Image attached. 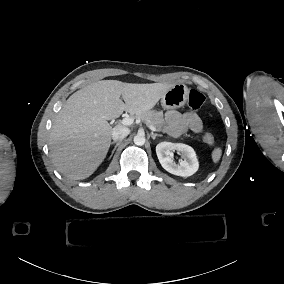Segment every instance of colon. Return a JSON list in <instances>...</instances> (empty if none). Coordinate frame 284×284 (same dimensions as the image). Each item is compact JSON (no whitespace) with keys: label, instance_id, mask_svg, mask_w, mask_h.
<instances>
[{"label":"colon","instance_id":"colon-1","mask_svg":"<svg viewBox=\"0 0 284 284\" xmlns=\"http://www.w3.org/2000/svg\"><path fill=\"white\" fill-rule=\"evenodd\" d=\"M205 103L204 95L197 89H191L188 96V105L192 109H199ZM203 141L207 144H211L214 141V136L211 133H205L203 135Z\"/></svg>","mask_w":284,"mask_h":284}]
</instances>
